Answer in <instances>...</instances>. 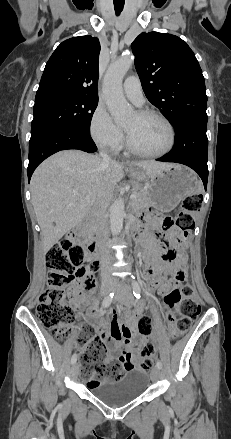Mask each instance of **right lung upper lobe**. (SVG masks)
Listing matches in <instances>:
<instances>
[{
    "label": "right lung upper lobe",
    "mask_w": 231,
    "mask_h": 439,
    "mask_svg": "<svg viewBox=\"0 0 231 439\" xmlns=\"http://www.w3.org/2000/svg\"><path fill=\"white\" fill-rule=\"evenodd\" d=\"M100 42L92 36L62 42L46 63L35 99L56 95H80L98 99Z\"/></svg>",
    "instance_id": "cb5924a9"
}]
</instances>
